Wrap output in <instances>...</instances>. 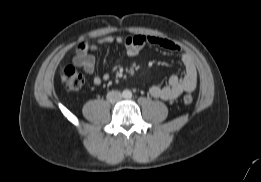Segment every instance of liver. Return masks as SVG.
Segmentation results:
<instances>
[{
	"label": "liver",
	"mask_w": 261,
	"mask_h": 182,
	"mask_svg": "<svg viewBox=\"0 0 261 182\" xmlns=\"http://www.w3.org/2000/svg\"><path fill=\"white\" fill-rule=\"evenodd\" d=\"M66 80V77L63 75L62 76V81H65Z\"/></svg>",
	"instance_id": "6515ba94"
}]
</instances>
